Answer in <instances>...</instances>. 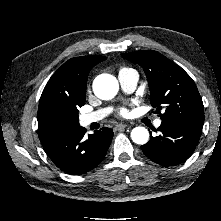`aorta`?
I'll use <instances>...</instances> for the list:
<instances>
[{
	"label": "aorta",
	"instance_id": "aorta-1",
	"mask_svg": "<svg viewBox=\"0 0 221 221\" xmlns=\"http://www.w3.org/2000/svg\"><path fill=\"white\" fill-rule=\"evenodd\" d=\"M119 90L117 79L110 74H101L93 82L95 95L103 100H108L116 96ZM131 139L137 144H146L149 140V132L145 127H135L131 131Z\"/></svg>",
	"mask_w": 221,
	"mask_h": 221
}]
</instances>
